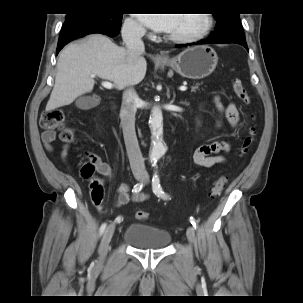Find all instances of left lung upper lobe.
I'll return each instance as SVG.
<instances>
[{"label":"left lung upper lobe","mask_w":303,"mask_h":303,"mask_svg":"<svg viewBox=\"0 0 303 303\" xmlns=\"http://www.w3.org/2000/svg\"><path fill=\"white\" fill-rule=\"evenodd\" d=\"M216 17V31L211 32L209 39L229 38L245 39L238 13L214 14Z\"/></svg>","instance_id":"1"}]
</instances>
